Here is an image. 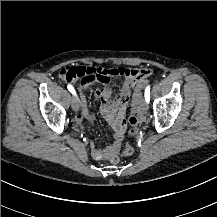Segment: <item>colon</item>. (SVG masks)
Listing matches in <instances>:
<instances>
[{
    "instance_id": "obj_1",
    "label": "colon",
    "mask_w": 217,
    "mask_h": 217,
    "mask_svg": "<svg viewBox=\"0 0 217 217\" xmlns=\"http://www.w3.org/2000/svg\"><path fill=\"white\" fill-rule=\"evenodd\" d=\"M108 69L101 68H87V67H65L60 70L61 77L68 82H75L81 79L82 82L87 83L92 80L99 78L103 73L107 72ZM110 72L116 76H129L133 78V74H144L149 73L152 74L150 70L144 68H136V67H125L118 66L114 67L110 70ZM149 84L148 80H142L136 83L137 87L147 86ZM138 105H139V92L134 90L132 92V104H131V116L129 118L130 122V134L134 135L137 132V116H138ZM125 151L128 155H132L134 150L129 143L124 145ZM113 163L119 162L118 156L112 157Z\"/></svg>"
}]
</instances>
